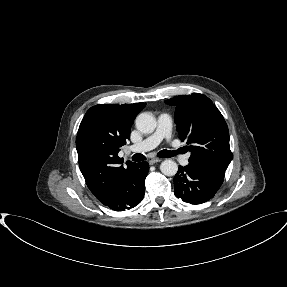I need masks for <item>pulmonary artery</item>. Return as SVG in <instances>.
Segmentation results:
<instances>
[{
    "label": "pulmonary artery",
    "mask_w": 287,
    "mask_h": 287,
    "mask_svg": "<svg viewBox=\"0 0 287 287\" xmlns=\"http://www.w3.org/2000/svg\"><path fill=\"white\" fill-rule=\"evenodd\" d=\"M172 119L169 114L163 113L158 117L157 128L153 134L144 139L138 144L132 145L128 148L130 152H145L157 147L163 140L171 138ZM180 154H177L178 156ZM182 165L186 166L189 163V155L179 157Z\"/></svg>",
    "instance_id": "pulmonary-artery-1"
}]
</instances>
